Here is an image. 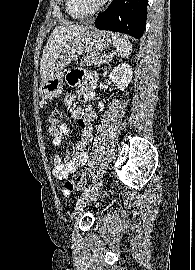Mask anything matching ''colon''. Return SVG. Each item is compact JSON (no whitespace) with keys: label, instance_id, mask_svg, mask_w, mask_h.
Segmentation results:
<instances>
[{"label":"colon","instance_id":"colon-1","mask_svg":"<svg viewBox=\"0 0 195 270\" xmlns=\"http://www.w3.org/2000/svg\"><path fill=\"white\" fill-rule=\"evenodd\" d=\"M62 120V113L58 109H54L50 112L47 118L49 127L57 126ZM64 188L66 191L71 192L74 190H80L81 185L72 180L65 181Z\"/></svg>","mask_w":195,"mask_h":270}]
</instances>
